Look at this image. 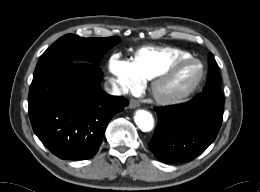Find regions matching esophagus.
I'll list each match as a JSON object with an SVG mask.
<instances>
[{
    "instance_id": "obj_1",
    "label": "esophagus",
    "mask_w": 260,
    "mask_h": 192,
    "mask_svg": "<svg viewBox=\"0 0 260 192\" xmlns=\"http://www.w3.org/2000/svg\"><path fill=\"white\" fill-rule=\"evenodd\" d=\"M139 105L140 104H139V102L136 99H131L130 100L129 107L131 109L137 108V107H139Z\"/></svg>"
}]
</instances>
